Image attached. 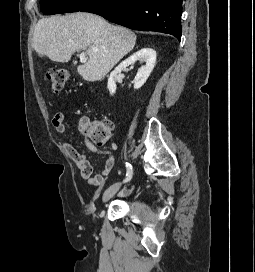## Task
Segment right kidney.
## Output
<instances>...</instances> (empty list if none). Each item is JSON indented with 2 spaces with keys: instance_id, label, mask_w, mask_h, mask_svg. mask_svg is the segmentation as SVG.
<instances>
[{
  "instance_id": "right-kidney-1",
  "label": "right kidney",
  "mask_w": 255,
  "mask_h": 272,
  "mask_svg": "<svg viewBox=\"0 0 255 272\" xmlns=\"http://www.w3.org/2000/svg\"><path fill=\"white\" fill-rule=\"evenodd\" d=\"M138 60L145 62L146 64L138 70L137 75L135 76L134 89L142 87L151 74L156 63V51L151 48H142L120 63L118 67L111 72L108 78L107 88L111 95L116 91L114 77H116L118 73H121L123 69L129 65H133Z\"/></svg>"
}]
</instances>
